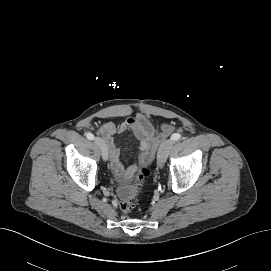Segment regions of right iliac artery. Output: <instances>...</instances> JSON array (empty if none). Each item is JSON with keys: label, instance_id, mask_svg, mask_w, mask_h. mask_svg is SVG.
I'll return each instance as SVG.
<instances>
[{"label": "right iliac artery", "instance_id": "right-iliac-artery-1", "mask_svg": "<svg viewBox=\"0 0 271 271\" xmlns=\"http://www.w3.org/2000/svg\"><path fill=\"white\" fill-rule=\"evenodd\" d=\"M86 137L89 139V140H94V135L92 133H87L86 134Z\"/></svg>", "mask_w": 271, "mask_h": 271}]
</instances>
